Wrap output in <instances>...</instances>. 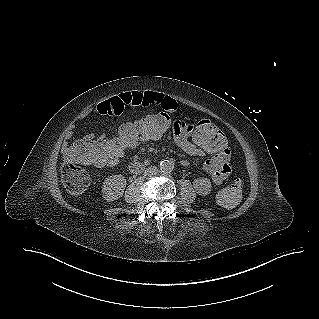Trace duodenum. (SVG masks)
<instances>
[{"label": "duodenum", "mask_w": 319, "mask_h": 319, "mask_svg": "<svg viewBox=\"0 0 319 319\" xmlns=\"http://www.w3.org/2000/svg\"><path fill=\"white\" fill-rule=\"evenodd\" d=\"M130 169L135 174H139L145 170L144 166L141 164H133L131 165Z\"/></svg>", "instance_id": "410a0bca"}]
</instances>
